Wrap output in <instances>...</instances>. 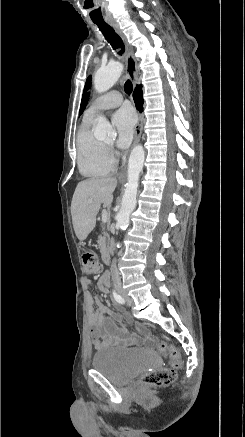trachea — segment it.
I'll use <instances>...</instances> for the list:
<instances>
[{"label": "trachea", "mask_w": 245, "mask_h": 437, "mask_svg": "<svg viewBox=\"0 0 245 437\" xmlns=\"http://www.w3.org/2000/svg\"><path fill=\"white\" fill-rule=\"evenodd\" d=\"M94 23L98 26L99 30L104 35L105 39L110 43L112 48L118 51L119 55H122L125 52V45L119 35L115 32V30L105 22L94 21ZM124 90L127 94H131L133 90V85L130 80H127L124 84Z\"/></svg>", "instance_id": "3493384b"}]
</instances>
